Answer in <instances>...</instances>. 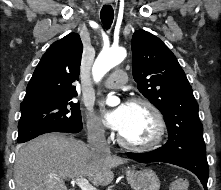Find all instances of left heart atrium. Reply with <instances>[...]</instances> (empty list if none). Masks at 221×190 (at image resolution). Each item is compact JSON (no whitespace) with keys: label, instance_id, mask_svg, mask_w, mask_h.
I'll return each instance as SVG.
<instances>
[{"label":"left heart atrium","instance_id":"obj_1","mask_svg":"<svg viewBox=\"0 0 221 190\" xmlns=\"http://www.w3.org/2000/svg\"><path fill=\"white\" fill-rule=\"evenodd\" d=\"M103 120L105 124L115 131H122L128 121L129 104L122 103L113 109H102Z\"/></svg>","mask_w":221,"mask_h":190}]
</instances>
